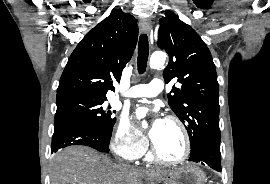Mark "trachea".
<instances>
[{
	"mask_svg": "<svg viewBox=\"0 0 270 184\" xmlns=\"http://www.w3.org/2000/svg\"><path fill=\"white\" fill-rule=\"evenodd\" d=\"M148 55H149L148 38L146 34H142L139 38L138 57H137L138 72L140 74H143L146 70Z\"/></svg>",
	"mask_w": 270,
	"mask_h": 184,
	"instance_id": "trachea-1",
	"label": "trachea"
}]
</instances>
